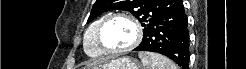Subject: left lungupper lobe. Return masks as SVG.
Returning a JSON list of instances; mask_svg holds the SVG:
<instances>
[{
	"mask_svg": "<svg viewBox=\"0 0 246 69\" xmlns=\"http://www.w3.org/2000/svg\"><path fill=\"white\" fill-rule=\"evenodd\" d=\"M180 0H96L88 23L109 10H127L142 24L144 30L166 15ZM143 30V31H144Z\"/></svg>",
	"mask_w": 246,
	"mask_h": 69,
	"instance_id": "obj_1",
	"label": "left lung upper lobe"
}]
</instances>
